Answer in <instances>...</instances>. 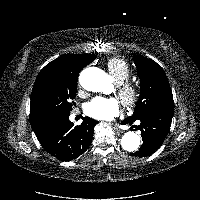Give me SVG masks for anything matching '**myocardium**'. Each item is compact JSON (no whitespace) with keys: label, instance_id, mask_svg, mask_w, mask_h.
Instances as JSON below:
<instances>
[{"label":"myocardium","instance_id":"f54148a6","mask_svg":"<svg viewBox=\"0 0 200 200\" xmlns=\"http://www.w3.org/2000/svg\"><path fill=\"white\" fill-rule=\"evenodd\" d=\"M117 94L125 107H133L138 102L140 90L134 83L125 81L117 86Z\"/></svg>","mask_w":200,"mask_h":200}]
</instances>
